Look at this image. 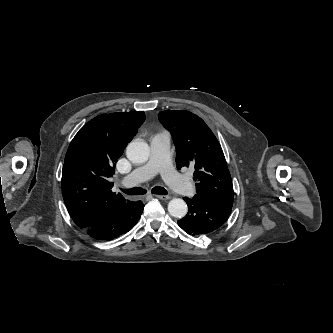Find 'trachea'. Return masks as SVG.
Here are the masks:
<instances>
[{"label": "trachea", "instance_id": "1", "mask_svg": "<svg viewBox=\"0 0 333 333\" xmlns=\"http://www.w3.org/2000/svg\"><path fill=\"white\" fill-rule=\"evenodd\" d=\"M124 193L128 194V195H143L146 193V190L143 188H132V189H121ZM151 192L153 194H159V195H166L167 194V190L163 187L160 186H156L154 187Z\"/></svg>", "mask_w": 333, "mask_h": 333}]
</instances>
